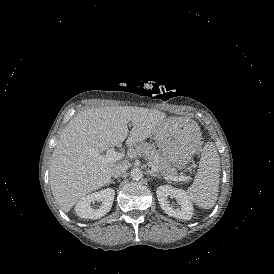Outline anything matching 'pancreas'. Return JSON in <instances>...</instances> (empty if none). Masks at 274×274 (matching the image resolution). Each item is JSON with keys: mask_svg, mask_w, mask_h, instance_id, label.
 Segmentation results:
<instances>
[{"mask_svg": "<svg viewBox=\"0 0 274 274\" xmlns=\"http://www.w3.org/2000/svg\"><path fill=\"white\" fill-rule=\"evenodd\" d=\"M136 155H138L139 157H144L146 160L151 161L152 165L164 174L176 173V171L171 168L170 160L160 156L154 145L144 144L143 146H138Z\"/></svg>", "mask_w": 274, "mask_h": 274, "instance_id": "cf45deb5", "label": "pancreas"}]
</instances>
